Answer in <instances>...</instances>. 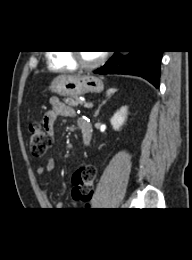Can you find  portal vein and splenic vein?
Instances as JSON below:
<instances>
[{"instance_id": "18ae733b", "label": "portal vein and splenic vein", "mask_w": 192, "mask_h": 260, "mask_svg": "<svg viewBox=\"0 0 192 260\" xmlns=\"http://www.w3.org/2000/svg\"><path fill=\"white\" fill-rule=\"evenodd\" d=\"M85 108H92L93 104L92 103H84Z\"/></svg>"}]
</instances>
